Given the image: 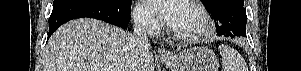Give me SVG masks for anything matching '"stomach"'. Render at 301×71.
<instances>
[{"label": "stomach", "mask_w": 301, "mask_h": 71, "mask_svg": "<svg viewBox=\"0 0 301 71\" xmlns=\"http://www.w3.org/2000/svg\"><path fill=\"white\" fill-rule=\"evenodd\" d=\"M161 60L171 71H218L219 68L215 53L205 47L190 48Z\"/></svg>", "instance_id": "stomach-1"}]
</instances>
